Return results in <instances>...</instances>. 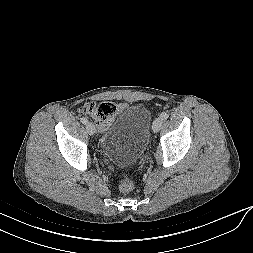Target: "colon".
Segmentation results:
<instances>
[{
	"label": "colon",
	"instance_id": "colon-1",
	"mask_svg": "<svg viewBox=\"0 0 253 253\" xmlns=\"http://www.w3.org/2000/svg\"><path fill=\"white\" fill-rule=\"evenodd\" d=\"M116 105L112 102H102V103H86L83 106V112L90 115L97 125L101 128H104L112 119L113 115L116 112ZM134 188L133 181L129 179L122 180L118 189L121 193H128Z\"/></svg>",
	"mask_w": 253,
	"mask_h": 253
}]
</instances>
